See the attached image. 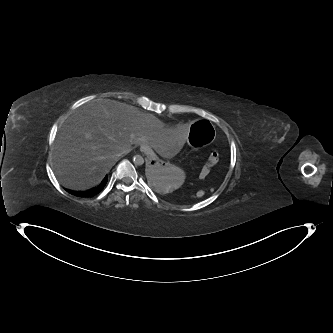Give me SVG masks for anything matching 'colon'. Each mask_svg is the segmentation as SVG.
<instances>
[{"label": "colon", "mask_w": 333, "mask_h": 333, "mask_svg": "<svg viewBox=\"0 0 333 333\" xmlns=\"http://www.w3.org/2000/svg\"><path fill=\"white\" fill-rule=\"evenodd\" d=\"M218 161H219V153L217 151L211 152L208 164H206V166H204L203 169L201 170L200 177L204 178L205 176H207L210 171V168L215 166Z\"/></svg>", "instance_id": "obj_1"}]
</instances>
